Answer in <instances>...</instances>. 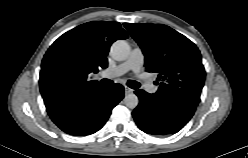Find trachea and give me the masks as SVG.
<instances>
[{
  "mask_svg": "<svg viewBox=\"0 0 248 158\" xmlns=\"http://www.w3.org/2000/svg\"><path fill=\"white\" fill-rule=\"evenodd\" d=\"M101 83H102V85H104V86H110V85L113 84V81H112V80H109V79H102V80H101ZM127 85H128L130 88H132V89H137V88L140 87V84H139L138 82H136V81H133V80H129V81L127 82Z\"/></svg>",
  "mask_w": 248,
  "mask_h": 158,
  "instance_id": "1",
  "label": "trachea"
}]
</instances>
